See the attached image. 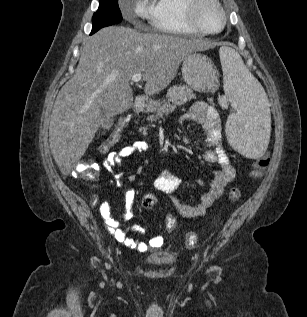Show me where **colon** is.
<instances>
[{
  "label": "colon",
  "mask_w": 307,
  "mask_h": 317,
  "mask_svg": "<svg viewBox=\"0 0 307 317\" xmlns=\"http://www.w3.org/2000/svg\"><path fill=\"white\" fill-rule=\"evenodd\" d=\"M127 125V120L122 118L119 123L115 126L109 137L102 142L99 150L102 154H109L113 151L114 147L120 140L122 132ZM269 164V158L267 156L261 157L255 161L253 168L250 172L252 178H260L266 167ZM72 175L80 177L86 180H94L97 176L96 166L93 162L83 160L80 161L72 170ZM241 197V189L239 187H233L229 192L230 201H237ZM157 203V199L153 194L146 193L142 197V205L145 209H152ZM177 226L176 219L173 216L166 217V228L169 232L175 230ZM197 242V236L194 232H187L185 234V243L188 246H194Z\"/></svg>",
  "instance_id": "1"
}]
</instances>
